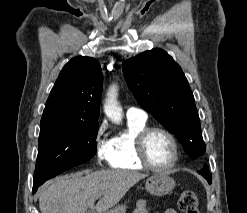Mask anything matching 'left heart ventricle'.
Segmentation results:
<instances>
[{
    "instance_id": "1",
    "label": "left heart ventricle",
    "mask_w": 247,
    "mask_h": 213,
    "mask_svg": "<svg viewBox=\"0 0 247 213\" xmlns=\"http://www.w3.org/2000/svg\"><path fill=\"white\" fill-rule=\"evenodd\" d=\"M145 149L149 161L155 166H167L173 159L171 141L162 132H152L146 140Z\"/></svg>"
}]
</instances>
